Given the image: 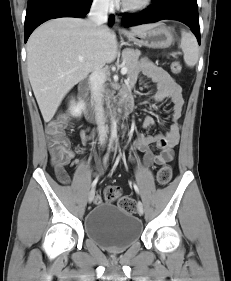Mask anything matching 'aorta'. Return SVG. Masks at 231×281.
Wrapping results in <instances>:
<instances>
[{
	"mask_svg": "<svg viewBox=\"0 0 231 281\" xmlns=\"http://www.w3.org/2000/svg\"><path fill=\"white\" fill-rule=\"evenodd\" d=\"M111 134H112V136H116V134H117V124H116V121L114 118L112 119V122H111Z\"/></svg>",
	"mask_w": 231,
	"mask_h": 281,
	"instance_id": "762f6f07",
	"label": "aorta"
}]
</instances>
